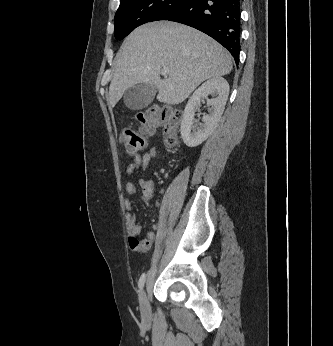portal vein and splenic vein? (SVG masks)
<instances>
[{
	"instance_id": "1",
	"label": "portal vein and splenic vein",
	"mask_w": 333,
	"mask_h": 346,
	"mask_svg": "<svg viewBox=\"0 0 333 346\" xmlns=\"http://www.w3.org/2000/svg\"><path fill=\"white\" fill-rule=\"evenodd\" d=\"M161 74L164 76H167L169 74V69L168 68H162L161 69Z\"/></svg>"
}]
</instances>
